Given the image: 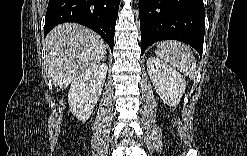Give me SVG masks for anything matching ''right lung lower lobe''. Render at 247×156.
Wrapping results in <instances>:
<instances>
[{"label": "right lung lower lobe", "mask_w": 247, "mask_h": 156, "mask_svg": "<svg viewBox=\"0 0 247 156\" xmlns=\"http://www.w3.org/2000/svg\"><path fill=\"white\" fill-rule=\"evenodd\" d=\"M119 2L120 0H49L44 36L58 24L76 22L96 31L112 50Z\"/></svg>", "instance_id": "right-lung-lower-lobe-1"}]
</instances>
